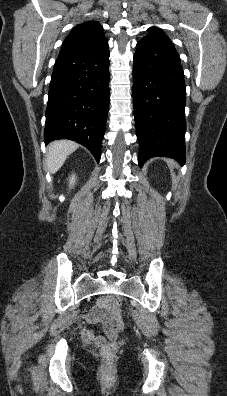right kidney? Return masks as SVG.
<instances>
[{"label": "right kidney", "mask_w": 227, "mask_h": 396, "mask_svg": "<svg viewBox=\"0 0 227 396\" xmlns=\"http://www.w3.org/2000/svg\"><path fill=\"white\" fill-rule=\"evenodd\" d=\"M74 181H75V176L73 175V176L70 178V184H71V185L74 184Z\"/></svg>", "instance_id": "obj_1"}]
</instances>
